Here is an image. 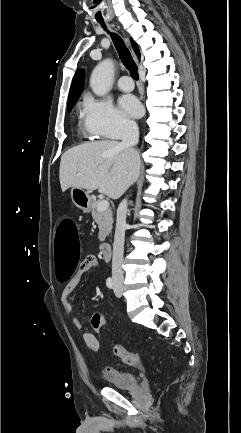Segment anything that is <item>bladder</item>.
I'll return each instance as SVG.
<instances>
[{"label": "bladder", "instance_id": "bladder-1", "mask_svg": "<svg viewBox=\"0 0 241 433\" xmlns=\"http://www.w3.org/2000/svg\"><path fill=\"white\" fill-rule=\"evenodd\" d=\"M102 377L109 387L121 391H128L138 386V380L132 372L115 371L113 373H102Z\"/></svg>", "mask_w": 241, "mask_h": 433}]
</instances>
